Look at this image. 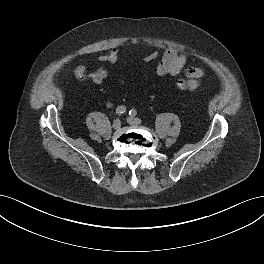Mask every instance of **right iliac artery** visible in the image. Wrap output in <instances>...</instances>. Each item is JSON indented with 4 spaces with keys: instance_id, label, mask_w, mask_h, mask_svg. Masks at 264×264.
Wrapping results in <instances>:
<instances>
[{
    "instance_id": "82829eb1",
    "label": "right iliac artery",
    "mask_w": 264,
    "mask_h": 264,
    "mask_svg": "<svg viewBox=\"0 0 264 264\" xmlns=\"http://www.w3.org/2000/svg\"><path fill=\"white\" fill-rule=\"evenodd\" d=\"M126 112V107L121 105V106H118L117 109H116V113L118 115H122Z\"/></svg>"
}]
</instances>
